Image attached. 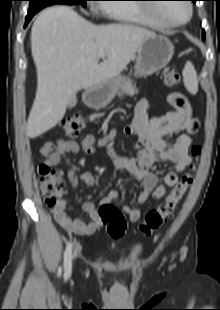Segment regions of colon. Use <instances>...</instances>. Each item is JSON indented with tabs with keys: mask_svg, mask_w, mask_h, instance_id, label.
<instances>
[{
	"mask_svg": "<svg viewBox=\"0 0 220 310\" xmlns=\"http://www.w3.org/2000/svg\"><path fill=\"white\" fill-rule=\"evenodd\" d=\"M164 81L169 86H175L180 82L178 72L171 67L164 70ZM85 126L84 116L74 113L67 116L62 123V127L67 136H78ZM195 157L201 152L200 146H195L192 150ZM41 190L47 206L54 208L62 200L64 195V181L62 172L41 165L38 168ZM192 182L191 174H185L166 195L163 201L155 208L149 210L140 225V231L149 236L158 230L170 219L174 209L185 195ZM99 216L102 224L107 227L111 237L120 238L126 231V220L121 211L111 203H104L99 208Z\"/></svg>",
	"mask_w": 220,
	"mask_h": 310,
	"instance_id": "1",
	"label": "colon"
}]
</instances>
